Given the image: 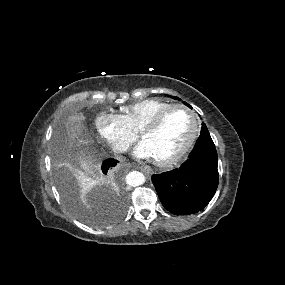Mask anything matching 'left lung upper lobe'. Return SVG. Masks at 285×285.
I'll return each instance as SVG.
<instances>
[{"label":"left lung upper lobe","instance_id":"5c2ea615","mask_svg":"<svg viewBox=\"0 0 285 285\" xmlns=\"http://www.w3.org/2000/svg\"><path fill=\"white\" fill-rule=\"evenodd\" d=\"M174 99H178L177 97H173ZM185 105H187L188 107L192 108L189 104H187L186 102H183ZM208 129L206 127V125L203 123L202 124V130H201V134L207 133Z\"/></svg>","mask_w":285,"mask_h":285}]
</instances>
